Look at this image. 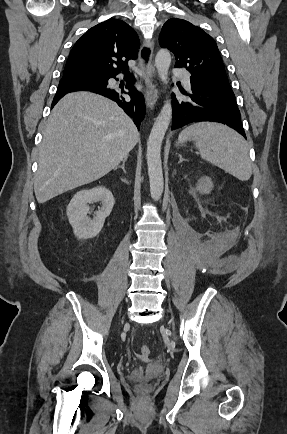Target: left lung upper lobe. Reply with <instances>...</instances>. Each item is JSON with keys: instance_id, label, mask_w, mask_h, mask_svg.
Returning <instances> with one entry per match:
<instances>
[{"instance_id": "1", "label": "left lung upper lobe", "mask_w": 287, "mask_h": 434, "mask_svg": "<svg viewBox=\"0 0 287 434\" xmlns=\"http://www.w3.org/2000/svg\"><path fill=\"white\" fill-rule=\"evenodd\" d=\"M161 47L175 54V67H184L192 79L232 92L218 47L211 36L190 22L169 19L159 36Z\"/></svg>"}]
</instances>
